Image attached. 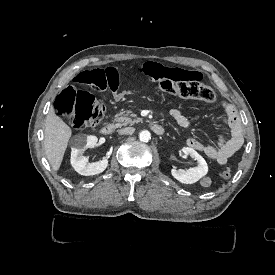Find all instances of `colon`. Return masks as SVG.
I'll return each instance as SVG.
<instances>
[{
	"label": "colon",
	"instance_id": "colon-1",
	"mask_svg": "<svg viewBox=\"0 0 275 275\" xmlns=\"http://www.w3.org/2000/svg\"><path fill=\"white\" fill-rule=\"evenodd\" d=\"M106 84L104 72H93L92 68H77L76 77L72 79L73 87L65 88L54 101L56 112L66 117L76 129L97 126L103 118L105 104L89 92H107ZM157 91L163 97L193 98L210 104L218 102L215 91L203 84L192 85L189 82L162 79L157 84ZM220 175L230 178L231 170L224 168Z\"/></svg>",
	"mask_w": 275,
	"mask_h": 275
}]
</instances>
